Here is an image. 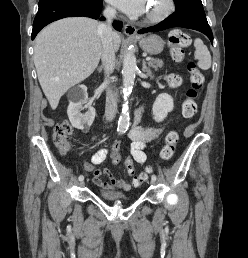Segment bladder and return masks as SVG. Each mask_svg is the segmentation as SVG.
<instances>
[{"label": "bladder", "mask_w": 248, "mask_h": 258, "mask_svg": "<svg viewBox=\"0 0 248 258\" xmlns=\"http://www.w3.org/2000/svg\"><path fill=\"white\" fill-rule=\"evenodd\" d=\"M101 197L110 200V201H125L130 198L129 195L114 191V190H101L100 191Z\"/></svg>", "instance_id": "31cf9c89"}]
</instances>
